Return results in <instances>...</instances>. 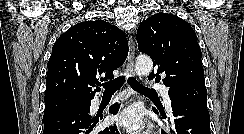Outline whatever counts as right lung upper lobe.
<instances>
[{"instance_id": "cb5924a9", "label": "right lung upper lobe", "mask_w": 244, "mask_h": 134, "mask_svg": "<svg viewBox=\"0 0 244 134\" xmlns=\"http://www.w3.org/2000/svg\"><path fill=\"white\" fill-rule=\"evenodd\" d=\"M128 55V41L119 28L104 20L81 22L61 35L48 61L45 99L91 100V87L114 78Z\"/></svg>"}]
</instances>
